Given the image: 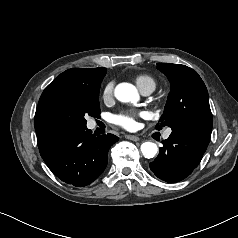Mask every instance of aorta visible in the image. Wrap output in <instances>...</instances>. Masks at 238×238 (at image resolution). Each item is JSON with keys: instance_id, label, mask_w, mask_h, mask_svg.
Segmentation results:
<instances>
[{"instance_id": "1", "label": "aorta", "mask_w": 238, "mask_h": 238, "mask_svg": "<svg viewBox=\"0 0 238 238\" xmlns=\"http://www.w3.org/2000/svg\"><path fill=\"white\" fill-rule=\"evenodd\" d=\"M114 93L121 102H134L138 99L136 88L129 83L118 84ZM141 152L145 158H153L158 152V147L153 142H144L141 145Z\"/></svg>"}]
</instances>
